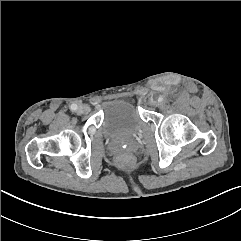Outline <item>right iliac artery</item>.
<instances>
[{"mask_svg":"<svg viewBox=\"0 0 241 241\" xmlns=\"http://www.w3.org/2000/svg\"><path fill=\"white\" fill-rule=\"evenodd\" d=\"M77 108H78V106H77L76 104H72V105L70 106V109H71L72 111H76Z\"/></svg>","mask_w":241,"mask_h":241,"instance_id":"1","label":"right iliac artery"}]
</instances>
